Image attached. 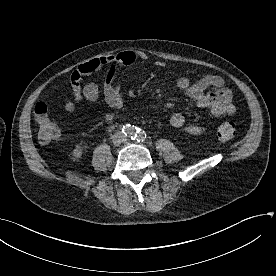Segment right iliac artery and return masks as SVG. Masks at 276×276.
<instances>
[{
  "mask_svg": "<svg viewBox=\"0 0 276 276\" xmlns=\"http://www.w3.org/2000/svg\"><path fill=\"white\" fill-rule=\"evenodd\" d=\"M137 129L138 128L131 126L130 124H126L122 126L123 133L131 139H135L137 135ZM109 131H111V128L109 129Z\"/></svg>",
  "mask_w": 276,
  "mask_h": 276,
  "instance_id": "right-iliac-artery-1",
  "label": "right iliac artery"
}]
</instances>
